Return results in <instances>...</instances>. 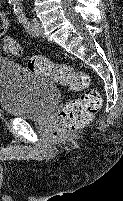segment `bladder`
<instances>
[{
  "label": "bladder",
  "mask_w": 123,
  "mask_h": 201,
  "mask_svg": "<svg viewBox=\"0 0 123 201\" xmlns=\"http://www.w3.org/2000/svg\"><path fill=\"white\" fill-rule=\"evenodd\" d=\"M60 101L58 87L8 57H0V107L9 115L45 120Z\"/></svg>",
  "instance_id": "31cf9c89"
}]
</instances>
